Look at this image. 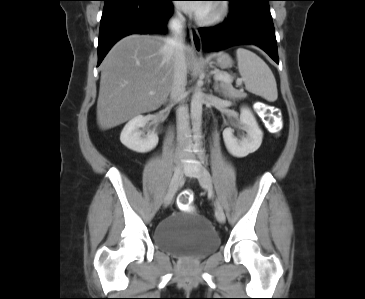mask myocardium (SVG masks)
<instances>
[{
    "label": "myocardium",
    "mask_w": 365,
    "mask_h": 299,
    "mask_svg": "<svg viewBox=\"0 0 365 299\" xmlns=\"http://www.w3.org/2000/svg\"><path fill=\"white\" fill-rule=\"evenodd\" d=\"M212 5L213 10L208 15L197 17V21L202 25H216L223 22L230 13V5L224 0H216Z\"/></svg>",
    "instance_id": "1"
}]
</instances>
